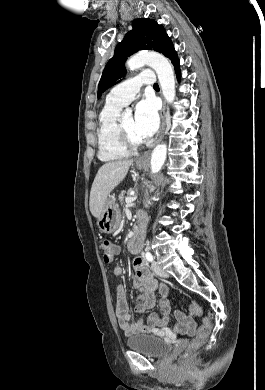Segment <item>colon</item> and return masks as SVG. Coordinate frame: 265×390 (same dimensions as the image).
<instances>
[{"instance_id": "1", "label": "colon", "mask_w": 265, "mask_h": 390, "mask_svg": "<svg viewBox=\"0 0 265 390\" xmlns=\"http://www.w3.org/2000/svg\"><path fill=\"white\" fill-rule=\"evenodd\" d=\"M100 250L102 252V258L105 263H110L115 257L114 246L108 239H103L100 242ZM189 311L191 314L200 316L202 315V308L197 304H190ZM211 333V323L207 318L203 320L202 325L197 331V335L192 341L190 348L191 350H196L210 335Z\"/></svg>"}]
</instances>
